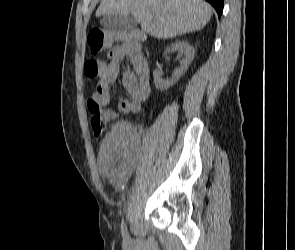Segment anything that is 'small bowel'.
<instances>
[{"mask_svg": "<svg viewBox=\"0 0 295 250\" xmlns=\"http://www.w3.org/2000/svg\"><path fill=\"white\" fill-rule=\"evenodd\" d=\"M124 61L127 68L122 82L128 97L119 101L118 109L121 112H137L150 93L149 68L141 50L131 51L124 44L110 50L109 62L104 63L91 99L102 108L109 104L110 89L118 80ZM135 151L136 134L125 123L114 126L104 138L99 151V168L115 187H120L130 176Z\"/></svg>", "mask_w": 295, "mask_h": 250, "instance_id": "c3829d8e", "label": "small bowel"}]
</instances>
